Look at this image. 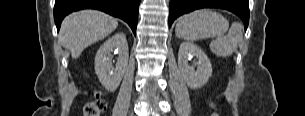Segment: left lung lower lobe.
<instances>
[{"mask_svg": "<svg viewBox=\"0 0 305 116\" xmlns=\"http://www.w3.org/2000/svg\"><path fill=\"white\" fill-rule=\"evenodd\" d=\"M222 8L238 15L247 29L249 22V0H171L169 7V27L182 14L196 9Z\"/></svg>", "mask_w": 305, "mask_h": 116, "instance_id": "left-lung-lower-lobe-1", "label": "left lung lower lobe"}]
</instances>
